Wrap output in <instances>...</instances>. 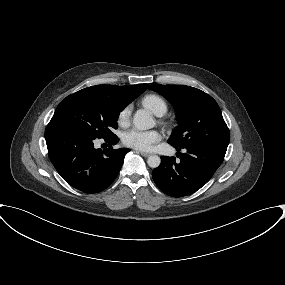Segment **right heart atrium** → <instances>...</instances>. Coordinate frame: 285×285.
<instances>
[{"label": "right heart atrium", "instance_id": "right-heart-atrium-1", "mask_svg": "<svg viewBox=\"0 0 285 285\" xmlns=\"http://www.w3.org/2000/svg\"><path fill=\"white\" fill-rule=\"evenodd\" d=\"M130 115H131V106L127 105L126 107H124L118 115V123L120 125H126L129 122L130 119Z\"/></svg>", "mask_w": 285, "mask_h": 285}]
</instances>
